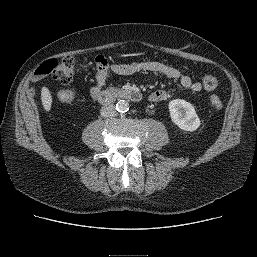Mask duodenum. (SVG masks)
<instances>
[{
  "mask_svg": "<svg viewBox=\"0 0 257 257\" xmlns=\"http://www.w3.org/2000/svg\"><path fill=\"white\" fill-rule=\"evenodd\" d=\"M97 99L101 104H108L114 100L122 99L137 103L142 100V95L135 89L127 88L120 90L101 91L98 93Z\"/></svg>",
  "mask_w": 257,
  "mask_h": 257,
  "instance_id": "duodenum-1",
  "label": "duodenum"
}]
</instances>
